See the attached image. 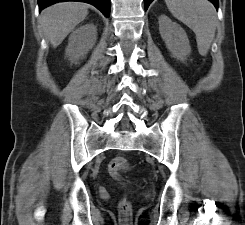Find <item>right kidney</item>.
<instances>
[{
  "mask_svg": "<svg viewBox=\"0 0 245 225\" xmlns=\"http://www.w3.org/2000/svg\"><path fill=\"white\" fill-rule=\"evenodd\" d=\"M97 29L93 24L83 25L72 32L66 48V56L71 63L83 58L96 43Z\"/></svg>",
  "mask_w": 245,
  "mask_h": 225,
  "instance_id": "ca27d5eb",
  "label": "right kidney"
}]
</instances>
